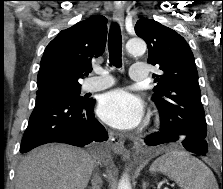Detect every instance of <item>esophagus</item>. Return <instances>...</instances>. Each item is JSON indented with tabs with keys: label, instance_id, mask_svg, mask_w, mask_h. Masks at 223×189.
<instances>
[{
	"label": "esophagus",
	"instance_id": "34e87169",
	"mask_svg": "<svg viewBox=\"0 0 223 189\" xmlns=\"http://www.w3.org/2000/svg\"><path fill=\"white\" fill-rule=\"evenodd\" d=\"M113 19L114 21L123 28L124 25V11L122 8H115L113 11ZM110 143L111 148L114 153L117 155H120L124 160H128L130 158L129 151L125 148L124 142L116 137L113 136L112 133H110Z\"/></svg>",
	"mask_w": 223,
	"mask_h": 189
}]
</instances>
